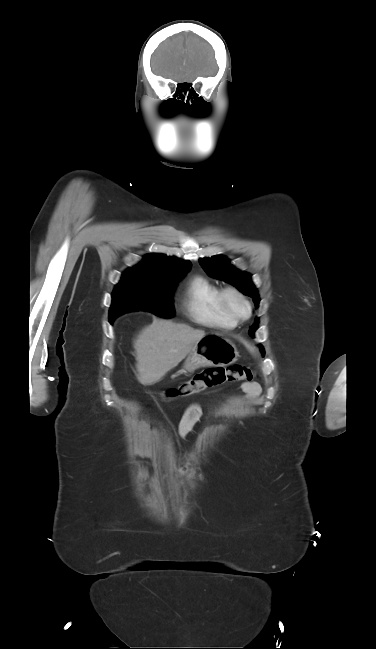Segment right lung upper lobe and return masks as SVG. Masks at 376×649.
I'll list each match as a JSON object with an SVG mask.
<instances>
[{"mask_svg": "<svg viewBox=\"0 0 376 649\" xmlns=\"http://www.w3.org/2000/svg\"><path fill=\"white\" fill-rule=\"evenodd\" d=\"M190 267L191 262L187 260L167 257L164 254H148L134 268L151 276H163L188 271Z\"/></svg>", "mask_w": 376, "mask_h": 649, "instance_id": "right-lung-upper-lobe-1", "label": "right lung upper lobe"}]
</instances>
